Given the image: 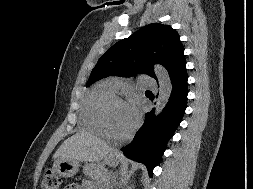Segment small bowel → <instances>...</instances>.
I'll use <instances>...</instances> for the list:
<instances>
[{
  "mask_svg": "<svg viewBox=\"0 0 253 189\" xmlns=\"http://www.w3.org/2000/svg\"><path fill=\"white\" fill-rule=\"evenodd\" d=\"M91 183L89 182H83L82 184H72L69 185L66 189H91Z\"/></svg>",
  "mask_w": 253,
  "mask_h": 189,
  "instance_id": "obj_1",
  "label": "small bowel"
}]
</instances>
